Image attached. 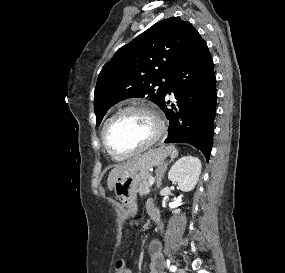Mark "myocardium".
Returning <instances> with one entry per match:
<instances>
[{"label":"myocardium","mask_w":285,"mask_h":273,"mask_svg":"<svg viewBox=\"0 0 285 273\" xmlns=\"http://www.w3.org/2000/svg\"><path fill=\"white\" fill-rule=\"evenodd\" d=\"M130 111H138V112H143L148 114L154 124H155V133L154 135L151 137V139H149L146 143L142 144L141 146L131 150V151H127V152H121L118 151L116 149H114L109 140H108V131L111 127V125L113 124V122L122 114L126 113V112H130ZM166 130V125H165V121L161 115V113L153 106L148 105V104H130L127 106H124L122 108H120L119 110H117L115 113H113L108 120L105 122L103 129H102V141L104 144V147L107 149V151L115 156L118 157H130L133 155H136L146 149H148L149 147H151L152 145H154L157 141H159L162 136L164 135Z\"/></svg>","instance_id":"1"}]
</instances>
